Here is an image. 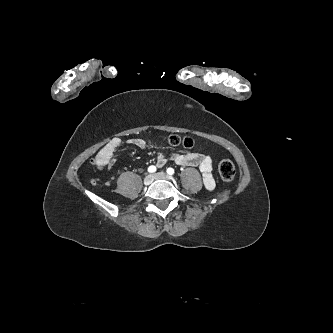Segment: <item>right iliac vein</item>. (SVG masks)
<instances>
[{
	"mask_svg": "<svg viewBox=\"0 0 333 333\" xmlns=\"http://www.w3.org/2000/svg\"><path fill=\"white\" fill-rule=\"evenodd\" d=\"M153 181H154V176L152 174H149L144 178L145 185H150Z\"/></svg>",
	"mask_w": 333,
	"mask_h": 333,
	"instance_id": "obj_1",
	"label": "right iliac vein"
}]
</instances>
